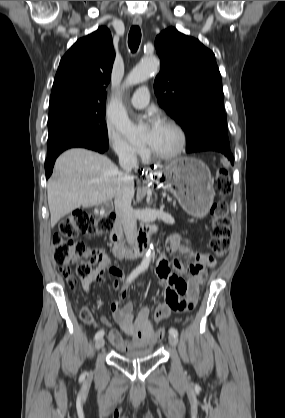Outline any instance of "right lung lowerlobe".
Masks as SVG:
<instances>
[{"instance_id": "obj_1", "label": "right lung lower lobe", "mask_w": 285, "mask_h": 418, "mask_svg": "<svg viewBox=\"0 0 285 418\" xmlns=\"http://www.w3.org/2000/svg\"><path fill=\"white\" fill-rule=\"evenodd\" d=\"M73 147H83V148L91 149L100 153H104V151L108 149L109 144L108 142L98 141V140L89 139V138L75 139V140L62 144L61 146H59L52 152L48 153V157L45 161V172H46L47 178L51 175L53 171V166L58 155L62 153L64 150L73 148Z\"/></svg>"}]
</instances>
